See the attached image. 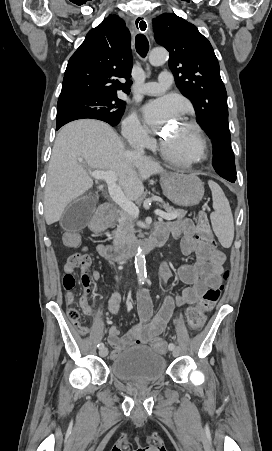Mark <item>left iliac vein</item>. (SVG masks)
<instances>
[{
  "label": "left iliac vein",
  "mask_w": 272,
  "mask_h": 451,
  "mask_svg": "<svg viewBox=\"0 0 272 451\" xmlns=\"http://www.w3.org/2000/svg\"><path fill=\"white\" fill-rule=\"evenodd\" d=\"M179 353H180V351H179V349L176 347V348L174 349V351H173V356H174V357H177V356L179 355Z\"/></svg>",
  "instance_id": "obj_1"
}]
</instances>
